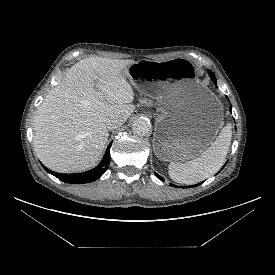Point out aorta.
<instances>
[{
    "label": "aorta",
    "instance_id": "obj_1",
    "mask_svg": "<svg viewBox=\"0 0 275 275\" xmlns=\"http://www.w3.org/2000/svg\"><path fill=\"white\" fill-rule=\"evenodd\" d=\"M150 122L145 118H138L132 124L133 133L138 136H145L150 132Z\"/></svg>",
    "mask_w": 275,
    "mask_h": 275
}]
</instances>
